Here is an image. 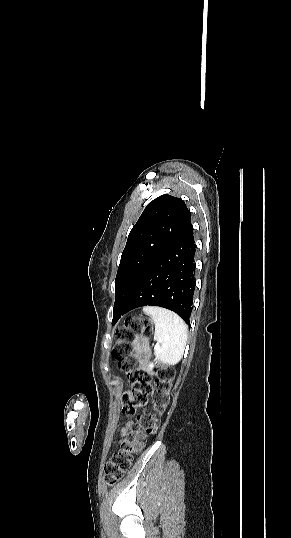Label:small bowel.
<instances>
[{"instance_id":"small-bowel-1","label":"small bowel","mask_w":291,"mask_h":538,"mask_svg":"<svg viewBox=\"0 0 291 538\" xmlns=\"http://www.w3.org/2000/svg\"><path fill=\"white\" fill-rule=\"evenodd\" d=\"M134 424L131 422H128L127 425L122 430V437H126L128 434L133 432ZM142 435L140 433H136V440L140 439Z\"/></svg>"}]
</instances>
